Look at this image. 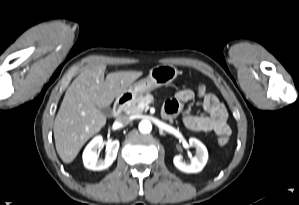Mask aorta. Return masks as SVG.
I'll return each mask as SVG.
<instances>
[{"label":"aorta","mask_w":299,"mask_h":205,"mask_svg":"<svg viewBox=\"0 0 299 205\" xmlns=\"http://www.w3.org/2000/svg\"><path fill=\"white\" fill-rule=\"evenodd\" d=\"M152 130V124L150 121L148 120H142L140 123H139V131L141 133H150Z\"/></svg>","instance_id":"762f6f07"}]
</instances>
